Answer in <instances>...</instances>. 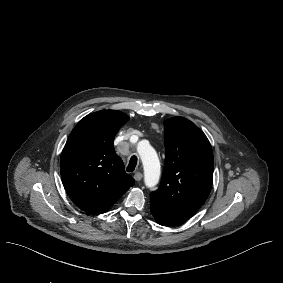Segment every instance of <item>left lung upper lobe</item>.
I'll return each instance as SVG.
<instances>
[{"mask_svg": "<svg viewBox=\"0 0 283 283\" xmlns=\"http://www.w3.org/2000/svg\"><path fill=\"white\" fill-rule=\"evenodd\" d=\"M165 165L161 185L150 194L166 203L199 209L213 182L214 158L205 134L191 121L164 123Z\"/></svg>", "mask_w": 283, "mask_h": 283, "instance_id": "left-lung-upper-lobe-1", "label": "left lung upper lobe"}]
</instances>
